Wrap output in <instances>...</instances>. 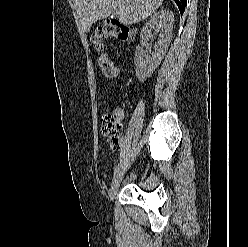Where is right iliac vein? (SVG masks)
I'll use <instances>...</instances> for the list:
<instances>
[{
	"instance_id": "1",
	"label": "right iliac vein",
	"mask_w": 248,
	"mask_h": 247,
	"mask_svg": "<svg viewBox=\"0 0 248 247\" xmlns=\"http://www.w3.org/2000/svg\"><path fill=\"white\" fill-rule=\"evenodd\" d=\"M124 173H125V170L119 172L116 177L114 178L112 184H111V187H110V190H109V198L110 200H113L117 191H118V188L120 186V183L124 177Z\"/></svg>"
}]
</instances>
